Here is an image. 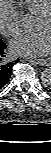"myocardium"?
<instances>
[{"mask_svg": "<svg viewBox=\"0 0 51 153\" xmlns=\"http://www.w3.org/2000/svg\"><path fill=\"white\" fill-rule=\"evenodd\" d=\"M37 15L39 16H46L51 18V5L48 6L46 9L40 11Z\"/></svg>", "mask_w": 51, "mask_h": 153, "instance_id": "myocardium-1", "label": "myocardium"}]
</instances>
